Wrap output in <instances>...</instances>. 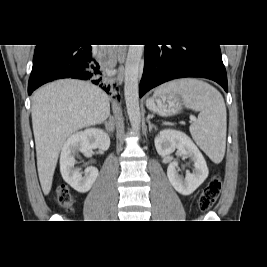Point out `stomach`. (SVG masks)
I'll return each mask as SVG.
<instances>
[{
  "label": "stomach",
  "instance_id": "1",
  "mask_svg": "<svg viewBox=\"0 0 267 267\" xmlns=\"http://www.w3.org/2000/svg\"><path fill=\"white\" fill-rule=\"evenodd\" d=\"M147 108L162 117H170L181 111V103L175 93H164L149 98L146 101Z\"/></svg>",
  "mask_w": 267,
  "mask_h": 267
}]
</instances>
